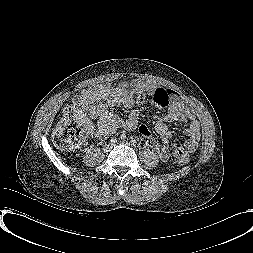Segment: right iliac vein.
<instances>
[{
    "mask_svg": "<svg viewBox=\"0 0 253 253\" xmlns=\"http://www.w3.org/2000/svg\"><path fill=\"white\" fill-rule=\"evenodd\" d=\"M109 149H110V148H109V145H108V146L105 147L104 151H105V152H108Z\"/></svg>",
    "mask_w": 253,
    "mask_h": 253,
    "instance_id": "right-iliac-vein-1",
    "label": "right iliac vein"
}]
</instances>
